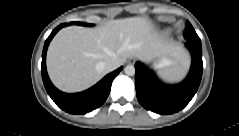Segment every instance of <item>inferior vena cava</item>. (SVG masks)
I'll return each mask as SVG.
<instances>
[{
	"mask_svg": "<svg viewBox=\"0 0 239 136\" xmlns=\"http://www.w3.org/2000/svg\"><path fill=\"white\" fill-rule=\"evenodd\" d=\"M121 65L120 61L118 59H109L104 63V67L107 71H113L117 69Z\"/></svg>",
	"mask_w": 239,
	"mask_h": 136,
	"instance_id": "inferior-vena-cava-1",
	"label": "inferior vena cava"
}]
</instances>
